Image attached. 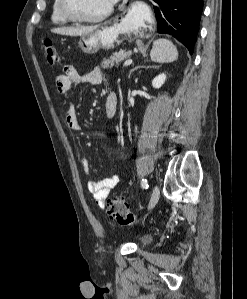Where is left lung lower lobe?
<instances>
[{
    "mask_svg": "<svg viewBox=\"0 0 247 299\" xmlns=\"http://www.w3.org/2000/svg\"><path fill=\"white\" fill-rule=\"evenodd\" d=\"M152 1L157 18V32L172 35L192 54L203 10V0Z\"/></svg>",
    "mask_w": 247,
    "mask_h": 299,
    "instance_id": "left-lung-lower-lobe-1",
    "label": "left lung lower lobe"
}]
</instances>
